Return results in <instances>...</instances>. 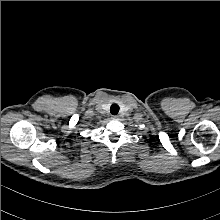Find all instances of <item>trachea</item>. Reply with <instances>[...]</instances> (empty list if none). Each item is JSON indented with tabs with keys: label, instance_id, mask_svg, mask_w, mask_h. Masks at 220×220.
Returning a JSON list of instances; mask_svg holds the SVG:
<instances>
[{
	"label": "trachea",
	"instance_id": "3493384b",
	"mask_svg": "<svg viewBox=\"0 0 220 220\" xmlns=\"http://www.w3.org/2000/svg\"><path fill=\"white\" fill-rule=\"evenodd\" d=\"M110 112L113 115H117L119 112V106L117 104H112L110 107Z\"/></svg>",
	"mask_w": 220,
	"mask_h": 220
}]
</instances>
